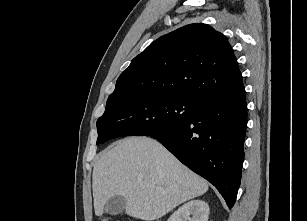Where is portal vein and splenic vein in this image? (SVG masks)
Wrapping results in <instances>:
<instances>
[{"instance_id":"portal-vein-and-splenic-vein-1","label":"portal vein and splenic vein","mask_w":307,"mask_h":221,"mask_svg":"<svg viewBox=\"0 0 307 221\" xmlns=\"http://www.w3.org/2000/svg\"><path fill=\"white\" fill-rule=\"evenodd\" d=\"M139 178H140V179H142V175H141V176H139Z\"/></svg>"}]
</instances>
